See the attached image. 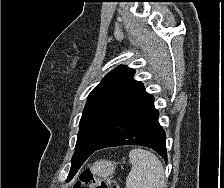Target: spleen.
Here are the masks:
<instances>
[{"label": "spleen", "instance_id": "3e777b00", "mask_svg": "<svg viewBox=\"0 0 224 188\" xmlns=\"http://www.w3.org/2000/svg\"><path fill=\"white\" fill-rule=\"evenodd\" d=\"M131 171L126 188H166L161 161L150 151L135 148L129 153Z\"/></svg>", "mask_w": 224, "mask_h": 188}]
</instances>
